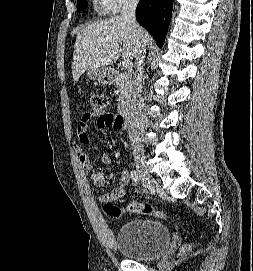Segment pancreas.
<instances>
[{
    "label": "pancreas",
    "instance_id": "1",
    "mask_svg": "<svg viewBox=\"0 0 253 271\" xmlns=\"http://www.w3.org/2000/svg\"><path fill=\"white\" fill-rule=\"evenodd\" d=\"M115 85L118 87L119 97L117 99L118 110H123L129 103L133 86L134 77L132 72L117 73L114 79Z\"/></svg>",
    "mask_w": 253,
    "mask_h": 271
}]
</instances>
